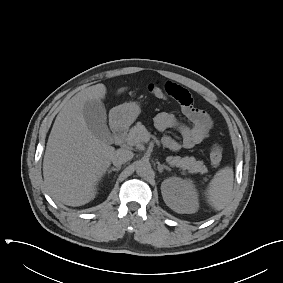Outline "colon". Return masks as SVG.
<instances>
[{"instance_id":"1","label":"colon","mask_w":283,"mask_h":283,"mask_svg":"<svg viewBox=\"0 0 283 283\" xmlns=\"http://www.w3.org/2000/svg\"><path fill=\"white\" fill-rule=\"evenodd\" d=\"M149 92L156 98L163 99L165 97V92L163 87L157 83L150 84L148 87ZM223 149L220 143H213L210 151V162L213 166L220 165L222 161Z\"/></svg>"}]
</instances>
